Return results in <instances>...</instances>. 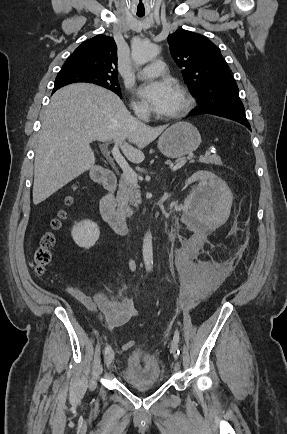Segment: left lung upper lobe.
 Listing matches in <instances>:
<instances>
[{
    "instance_id": "1",
    "label": "left lung upper lobe",
    "mask_w": 287,
    "mask_h": 434,
    "mask_svg": "<svg viewBox=\"0 0 287 434\" xmlns=\"http://www.w3.org/2000/svg\"><path fill=\"white\" fill-rule=\"evenodd\" d=\"M170 52L199 107L244 108L219 49L205 36L178 30L168 36Z\"/></svg>"
}]
</instances>
